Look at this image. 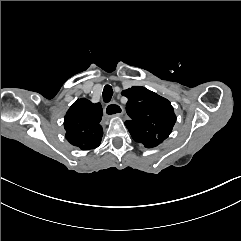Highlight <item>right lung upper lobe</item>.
Wrapping results in <instances>:
<instances>
[{
	"instance_id": "right-lung-upper-lobe-1",
	"label": "right lung upper lobe",
	"mask_w": 241,
	"mask_h": 241,
	"mask_svg": "<svg viewBox=\"0 0 241 241\" xmlns=\"http://www.w3.org/2000/svg\"><path fill=\"white\" fill-rule=\"evenodd\" d=\"M102 114L100 103L93 104L85 98L78 99L64 118L67 140L81 150L97 148L103 136L100 125Z\"/></svg>"
}]
</instances>
